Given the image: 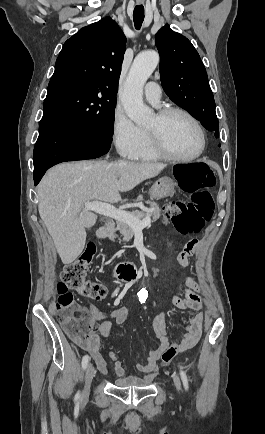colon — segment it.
<instances>
[{
	"label": "colon",
	"mask_w": 265,
	"mask_h": 434,
	"mask_svg": "<svg viewBox=\"0 0 265 434\" xmlns=\"http://www.w3.org/2000/svg\"><path fill=\"white\" fill-rule=\"evenodd\" d=\"M192 164H175L174 171L177 180L183 181L182 187L187 193H191V201L172 200L165 205V219L170 221L174 228L184 236H191L200 232L204 223L212 218V197L209 189L216 184L213 168L207 164H199L198 159H193ZM96 253V248L90 246L73 263L64 266L58 291L61 301L57 303L60 315V327H64V334L68 335L73 347L87 345L85 335L81 333V327L93 328V325H85V317L78 314H70L64 310L72 311L73 297L67 291H76L80 296L94 301H100L106 297L108 290L103 283L92 281L87 273L89 265ZM68 315V318H64ZM94 324V321H90ZM180 343V342H179ZM179 343L169 344L164 349L162 363H173L180 354Z\"/></svg>",
	"instance_id": "1"
}]
</instances>
